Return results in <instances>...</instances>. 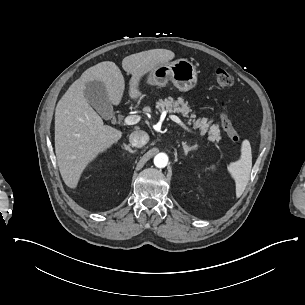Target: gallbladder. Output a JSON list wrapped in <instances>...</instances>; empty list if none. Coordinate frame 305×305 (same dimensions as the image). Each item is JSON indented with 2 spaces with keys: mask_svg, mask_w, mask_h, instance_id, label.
Instances as JSON below:
<instances>
[{
  "mask_svg": "<svg viewBox=\"0 0 305 305\" xmlns=\"http://www.w3.org/2000/svg\"><path fill=\"white\" fill-rule=\"evenodd\" d=\"M84 97L103 119L109 120L113 117V106L103 82L97 80L86 82Z\"/></svg>",
  "mask_w": 305,
  "mask_h": 305,
  "instance_id": "bac80fb5",
  "label": "gallbladder"
}]
</instances>
